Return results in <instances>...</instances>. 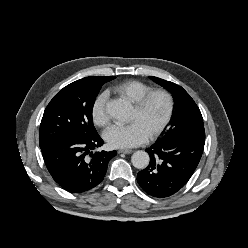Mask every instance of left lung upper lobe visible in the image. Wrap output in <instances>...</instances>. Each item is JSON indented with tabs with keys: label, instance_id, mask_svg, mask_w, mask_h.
Wrapping results in <instances>:
<instances>
[{
	"label": "left lung upper lobe",
	"instance_id": "obj_1",
	"mask_svg": "<svg viewBox=\"0 0 248 248\" xmlns=\"http://www.w3.org/2000/svg\"><path fill=\"white\" fill-rule=\"evenodd\" d=\"M150 78L170 91L176 102L172 125L160 140L167 141L179 136H194L205 139L203 118L191 96L181 86L173 82L153 76Z\"/></svg>",
	"mask_w": 248,
	"mask_h": 248
}]
</instances>
